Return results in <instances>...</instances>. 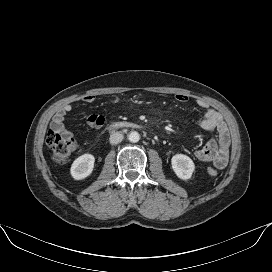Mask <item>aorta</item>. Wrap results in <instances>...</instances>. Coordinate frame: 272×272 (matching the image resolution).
Wrapping results in <instances>:
<instances>
[{
  "label": "aorta",
  "instance_id": "obj_1",
  "mask_svg": "<svg viewBox=\"0 0 272 272\" xmlns=\"http://www.w3.org/2000/svg\"><path fill=\"white\" fill-rule=\"evenodd\" d=\"M128 139L130 142L132 143H136L140 140V135L138 132L136 131H132L129 135H128Z\"/></svg>",
  "mask_w": 272,
  "mask_h": 272
}]
</instances>
